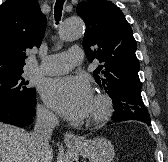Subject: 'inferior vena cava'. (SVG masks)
<instances>
[{
  "label": "inferior vena cava",
  "mask_w": 168,
  "mask_h": 162,
  "mask_svg": "<svg viewBox=\"0 0 168 162\" xmlns=\"http://www.w3.org/2000/svg\"><path fill=\"white\" fill-rule=\"evenodd\" d=\"M58 118L45 109L37 110L34 131L30 135L28 162H44V155L50 150L49 139Z\"/></svg>",
  "instance_id": "inferior-vena-cava-1"
}]
</instances>
